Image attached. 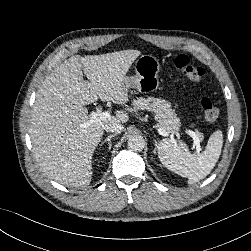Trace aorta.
<instances>
[{"label":"aorta","mask_w":251,"mask_h":251,"mask_svg":"<svg viewBox=\"0 0 251 251\" xmlns=\"http://www.w3.org/2000/svg\"><path fill=\"white\" fill-rule=\"evenodd\" d=\"M145 146V141L142 136L132 135L128 139V148L132 151H142Z\"/></svg>","instance_id":"obj_1"}]
</instances>
